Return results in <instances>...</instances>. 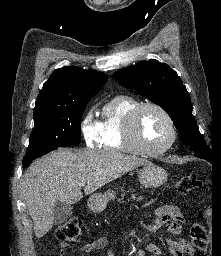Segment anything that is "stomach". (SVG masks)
I'll return each instance as SVG.
<instances>
[{"instance_id": "stomach-1", "label": "stomach", "mask_w": 221, "mask_h": 256, "mask_svg": "<svg viewBox=\"0 0 221 256\" xmlns=\"http://www.w3.org/2000/svg\"><path fill=\"white\" fill-rule=\"evenodd\" d=\"M167 172L162 167L148 163L138 171L140 183L146 188H156L167 181ZM115 191L108 190L106 193L93 194L88 200V206L95 213L102 212L109 200L115 198Z\"/></svg>"}]
</instances>
